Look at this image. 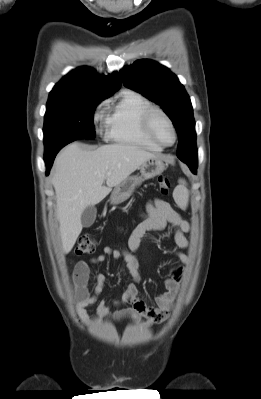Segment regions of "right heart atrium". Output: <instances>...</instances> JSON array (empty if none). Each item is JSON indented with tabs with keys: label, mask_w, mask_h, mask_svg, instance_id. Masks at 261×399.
Listing matches in <instances>:
<instances>
[{
	"label": "right heart atrium",
	"mask_w": 261,
	"mask_h": 399,
	"mask_svg": "<svg viewBox=\"0 0 261 399\" xmlns=\"http://www.w3.org/2000/svg\"><path fill=\"white\" fill-rule=\"evenodd\" d=\"M104 117V108H103V104H100L93 116V120L95 123H98L99 121H101Z\"/></svg>",
	"instance_id": "d8ad5b80"
}]
</instances>
